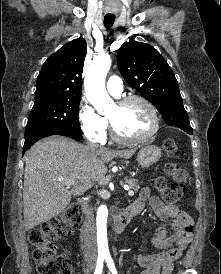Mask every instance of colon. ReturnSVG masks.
I'll return each instance as SVG.
<instances>
[{
  "label": "colon",
  "instance_id": "1",
  "mask_svg": "<svg viewBox=\"0 0 221 274\" xmlns=\"http://www.w3.org/2000/svg\"><path fill=\"white\" fill-rule=\"evenodd\" d=\"M163 148L168 158L165 170L172 178V183L167 185L163 178H158L156 186L163 201L172 205L183 197L188 173L178 162L180 152L176 142L167 139ZM81 217V206L78 203H73L61 215L44 222L40 227L29 232L28 239L34 247L32 255L37 265L38 274H71L69 258L56 253L54 241L57 238L70 235L80 224Z\"/></svg>",
  "mask_w": 221,
  "mask_h": 274
}]
</instances>
